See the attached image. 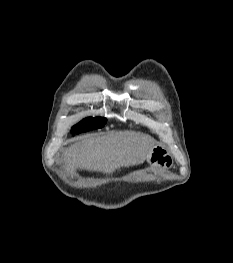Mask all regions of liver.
<instances>
[{"label": "liver", "mask_w": 233, "mask_h": 263, "mask_svg": "<svg viewBox=\"0 0 233 263\" xmlns=\"http://www.w3.org/2000/svg\"><path fill=\"white\" fill-rule=\"evenodd\" d=\"M153 147V140L142 133L110 132L85 138L73 145L65 157L81 170L110 174L123 166L142 164Z\"/></svg>", "instance_id": "1"}]
</instances>
